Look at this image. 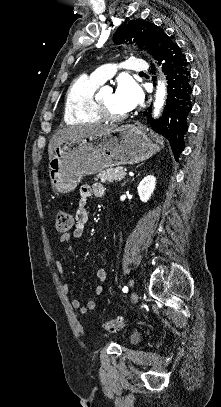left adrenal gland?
<instances>
[{
  "label": "left adrenal gland",
  "instance_id": "left-adrenal-gland-1",
  "mask_svg": "<svg viewBox=\"0 0 221 407\" xmlns=\"http://www.w3.org/2000/svg\"><path fill=\"white\" fill-rule=\"evenodd\" d=\"M126 182H127V181H125V182L122 184V186H124V185L126 184Z\"/></svg>",
  "mask_w": 221,
  "mask_h": 407
}]
</instances>
